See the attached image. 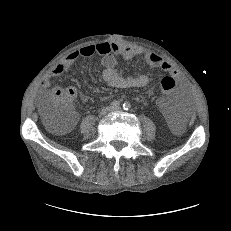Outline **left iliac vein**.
<instances>
[{"label":"left iliac vein","instance_id":"1","mask_svg":"<svg viewBox=\"0 0 231 231\" xmlns=\"http://www.w3.org/2000/svg\"><path fill=\"white\" fill-rule=\"evenodd\" d=\"M112 111L118 112L120 111V108L119 107L112 108Z\"/></svg>","mask_w":231,"mask_h":231}]
</instances>
